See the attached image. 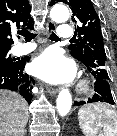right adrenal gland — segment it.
I'll return each mask as SVG.
<instances>
[{"mask_svg": "<svg viewBox=\"0 0 117 136\" xmlns=\"http://www.w3.org/2000/svg\"><path fill=\"white\" fill-rule=\"evenodd\" d=\"M26 133H27V131L25 130V131H24V134H23V136H25V135H26Z\"/></svg>", "mask_w": 117, "mask_h": 136, "instance_id": "right-adrenal-gland-1", "label": "right adrenal gland"}]
</instances>
